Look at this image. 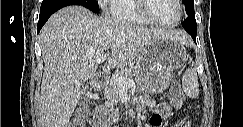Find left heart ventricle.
<instances>
[{
	"instance_id": "left-heart-ventricle-1",
	"label": "left heart ventricle",
	"mask_w": 243,
	"mask_h": 127,
	"mask_svg": "<svg viewBox=\"0 0 243 127\" xmlns=\"http://www.w3.org/2000/svg\"><path fill=\"white\" fill-rule=\"evenodd\" d=\"M147 3L150 13L161 22L173 23L179 17L175 0H148Z\"/></svg>"
}]
</instances>
